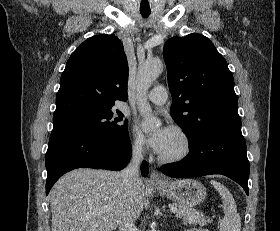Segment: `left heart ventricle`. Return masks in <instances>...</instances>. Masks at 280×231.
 Instances as JSON below:
<instances>
[{
  "label": "left heart ventricle",
  "instance_id": "obj_1",
  "mask_svg": "<svg viewBox=\"0 0 280 231\" xmlns=\"http://www.w3.org/2000/svg\"><path fill=\"white\" fill-rule=\"evenodd\" d=\"M181 143L174 133L173 139L162 155H170L180 149Z\"/></svg>",
  "mask_w": 280,
  "mask_h": 231
}]
</instances>
